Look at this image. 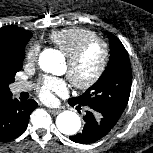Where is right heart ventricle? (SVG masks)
I'll use <instances>...</instances> for the list:
<instances>
[{
    "mask_svg": "<svg viewBox=\"0 0 153 153\" xmlns=\"http://www.w3.org/2000/svg\"><path fill=\"white\" fill-rule=\"evenodd\" d=\"M97 37V33L89 28L74 26L50 34L49 40L68 56L84 41Z\"/></svg>",
    "mask_w": 153,
    "mask_h": 153,
    "instance_id": "right-heart-ventricle-1",
    "label": "right heart ventricle"
}]
</instances>
